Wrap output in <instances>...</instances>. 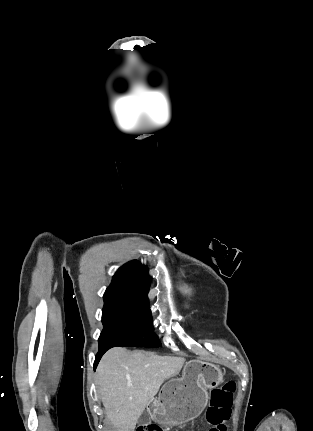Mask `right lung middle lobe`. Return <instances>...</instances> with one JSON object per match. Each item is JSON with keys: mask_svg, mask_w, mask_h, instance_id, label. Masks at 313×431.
<instances>
[{"mask_svg": "<svg viewBox=\"0 0 313 431\" xmlns=\"http://www.w3.org/2000/svg\"><path fill=\"white\" fill-rule=\"evenodd\" d=\"M102 323L99 348L159 346L148 302L104 296Z\"/></svg>", "mask_w": 313, "mask_h": 431, "instance_id": "right-lung-middle-lobe-1", "label": "right lung middle lobe"}]
</instances>
